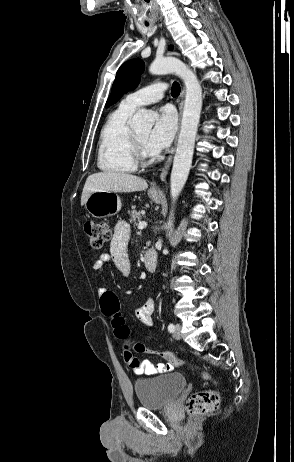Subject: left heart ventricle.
I'll return each instance as SVG.
<instances>
[{
  "label": "left heart ventricle",
  "mask_w": 294,
  "mask_h": 462,
  "mask_svg": "<svg viewBox=\"0 0 294 462\" xmlns=\"http://www.w3.org/2000/svg\"><path fill=\"white\" fill-rule=\"evenodd\" d=\"M135 134L138 137V139L143 143L145 148L148 150V148L146 146V141H147V138H148V135H149V130L135 131Z\"/></svg>",
  "instance_id": "left-heart-ventricle-1"
}]
</instances>
